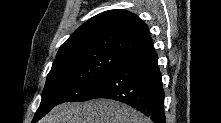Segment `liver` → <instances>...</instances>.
<instances>
[{"label":"liver","mask_w":221,"mask_h":123,"mask_svg":"<svg viewBox=\"0 0 221 123\" xmlns=\"http://www.w3.org/2000/svg\"><path fill=\"white\" fill-rule=\"evenodd\" d=\"M39 123H151V120L120 102L96 99L61 104Z\"/></svg>","instance_id":"6515ba94"}]
</instances>
